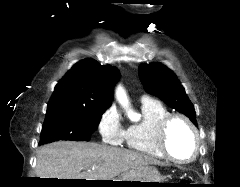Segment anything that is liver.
I'll return each instance as SVG.
<instances>
[{"instance_id":"obj_1","label":"liver","mask_w":240,"mask_h":187,"mask_svg":"<svg viewBox=\"0 0 240 187\" xmlns=\"http://www.w3.org/2000/svg\"><path fill=\"white\" fill-rule=\"evenodd\" d=\"M160 164L157 160L94 142L58 141L37 151L38 178L112 180L137 168Z\"/></svg>"}]
</instances>
